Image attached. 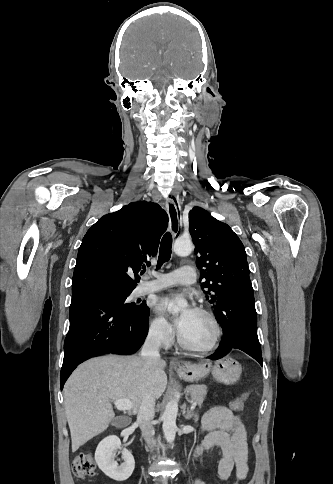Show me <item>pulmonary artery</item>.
I'll return each instance as SVG.
<instances>
[{"label": "pulmonary artery", "instance_id": "obj_1", "mask_svg": "<svg viewBox=\"0 0 333 484\" xmlns=\"http://www.w3.org/2000/svg\"><path fill=\"white\" fill-rule=\"evenodd\" d=\"M155 279L142 282L137 287L138 294H148L168 287L178 285H192L196 282L195 269L184 265L168 273L155 274Z\"/></svg>", "mask_w": 333, "mask_h": 484}]
</instances>
